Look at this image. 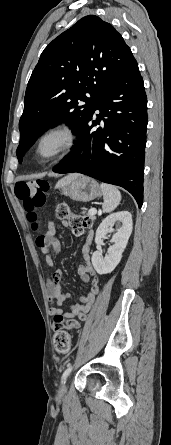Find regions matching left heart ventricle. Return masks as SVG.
<instances>
[{
	"label": "left heart ventricle",
	"instance_id": "1",
	"mask_svg": "<svg viewBox=\"0 0 171 445\" xmlns=\"http://www.w3.org/2000/svg\"><path fill=\"white\" fill-rule=\"evenodd\" d=\"M59 140L57 138H50L48 139L41 148V152L43 154H50L52 153L56 147L58 146Z\"/></svg>",
	"mask_w": 171,
	"mask_h": 445
}]
</instances>
